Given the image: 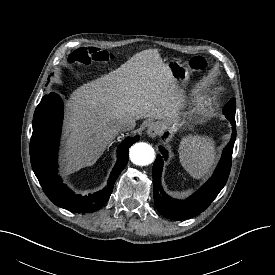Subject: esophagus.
Returning a JSON list of instances; mask_svg holds the SVG:
<instances>
[{"label":"esophagus","mask_w":275,"mask_h":275,"mask_svg":"<svg viewBox=\"0 0 275 275\" xmlns=\"http://www.w3.org/2000/svg\"><path fill=\"white\" fill-rule=\"evenodd\" d=\"M160 133V126L157 123H150L147 128V134L151 138H155Z\"/></svg>","instance_id":"34e87169"}]
</instances>
